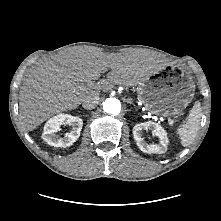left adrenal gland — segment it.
Here are the masks:
<instances>
[{"label": "left adrenal gland", "mask_w": 221, "mask_h": 221, "mask_svg": "<svg viewBox=\"0 0 221 221\" xmlns=\"http://www.w3.org/2000/svg\"><path fill=\"white\" fill-rule=\"evenodd\" d=\"M128 103L133 104L130 100H128Z\"/></svg>", "instance_id": "a2214340"}]
</instances>
